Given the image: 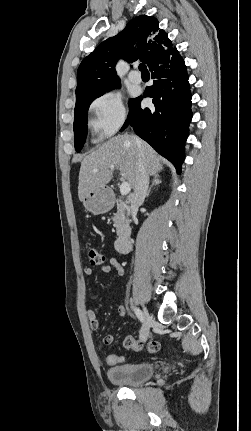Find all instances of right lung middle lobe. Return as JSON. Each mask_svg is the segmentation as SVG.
I'll use <instances>...</instances> for the list:
<instances>
[{"instance_id": "obj_1", "label": "right lung middle lobe", "mask_w": 251, "mask_h": 431, "mask_svg": "<svg viewBox=\"0 0 251 431\" xmlns=\"http://www.w3.org/2000/svg\"><path fill=\"white\" fill-rule=\"evenodd\" d=\"M117 86H119V83L102 90L76 97V105L74 112V145L77 152L82 149L85 143L87 135V113L90 104L93 100L100 97L105 92L114 89Z\"/></svg>"}]
</instances>
